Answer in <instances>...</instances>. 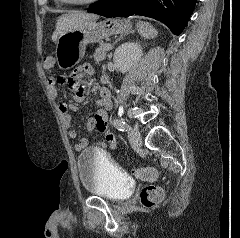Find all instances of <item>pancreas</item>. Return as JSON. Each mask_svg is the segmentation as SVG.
<instances>
[{"mask_svg": "<svg viewBox=\"0 0 240 238\" xmlns=\"http://www.w3.org/2000/svg\"><path fill=\"white\" fill-rule=\"evenodd\" d=\"M107 44H103L102 47L97 48L94 53V60L96 62L103 61L106 58L107 51L105 50Z\"/></svg>", "mask_w": 240, "mask_h": 238, "instance_id": "cf45deb5", "label": "pancreas"}]
</instances>
